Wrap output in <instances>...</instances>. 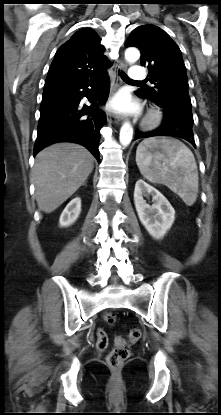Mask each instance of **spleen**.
<instances>
[{"instance_id":"spleen-1","label":"spleen","mask_w":221,"mask_h":415,"mask_svg":"<svg viewBox=\"0 0 221 415\" xmlns=\"http://www.w3.org/2000/svg\"><path fill=\"white\" fill-rule=\"evenodd\" d=\"M136 163L148 181L167 186L186 205L194 204L199 177L194 155L184 143L167 137L145 139L137 147Z\"/></svg>"}]
</instances>
